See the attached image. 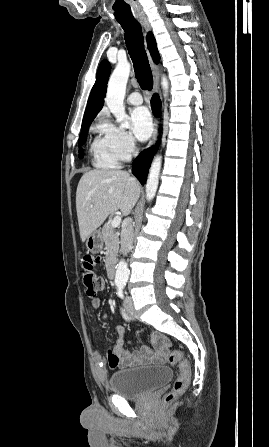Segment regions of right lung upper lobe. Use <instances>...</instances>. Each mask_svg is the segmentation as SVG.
<instances>
[{
	"instance_id": "1",
	"label": "right lung upper lobe",
	"mask_w": 269,
	"mask_h": 447,
	"mask_svg": "<svg viewBox=\"0 0 269 447\" xmlns=\"http://www.w3.org/2000/svg\"><path fill=\"white\" fill-rule=\"evenodd\" d=\"M146 39L148 49L151 53L152 58L155 63H158L160 56L157 50L156 41L153 34L149 32L147 34ZM110 72H111V66L109 62L107 60L102 61L97 71L96 82L93 86V89L88 99L82 126L91 123L98 114V112L102 109Z\"/></svg>"
}]
</instances>
